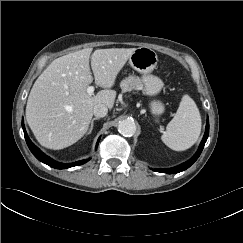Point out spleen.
<instances>
[{
	"instance_id": "1",
	"label": "spleen",
	"mask_w": 243,
	"mask_h": 243,
	"mask_svg": "<svg viewBox=\"0 0 243 243\" xmlns=\"http://www.w3.org/2000/svg\"><path fill=\"white\" fill-rule=\"evenodd\" d=\"M201 132V117L192 98L184 95L174 118L161 136L163 143L175 151H184L193 146Z\"/></svg>"
}]
</instances>
